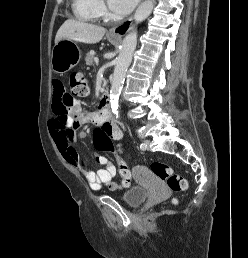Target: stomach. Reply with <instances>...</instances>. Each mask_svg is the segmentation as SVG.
<instances>
[{
    "mask_svg": "<svg viewBox=\"0 0 248 258\" xmlns=\"http://www.w3.org/2000/svg\"><path fill=\"white\" fill-rule=\"evenodd\" d=\"M80 59L81 51L77 44L72 40L62 39L52 50L51 67L54 72L64 74L77 65Z\"/></svg>",
    "mask_w": 248,
    "mask_h": 258,
    "instance_id": "obj_1",
    "label": "stomach"
}]
</instances>
